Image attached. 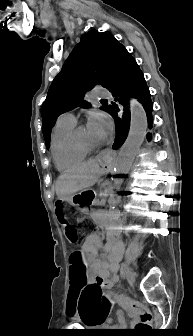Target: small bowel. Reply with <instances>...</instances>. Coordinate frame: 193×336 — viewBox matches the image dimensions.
Here are the masks:
<instances>
[{
	"label": "small bowel",
	"mask_w": 193,
	"mask_h": 336,
	"mask_svg": "<svg viewBox=\"0 0 193 336\" xmlns=\"http://www.w3.org/2000/svg\"><path fill=\"white\" fill-rule=\"evenodd\" d=\"M102 216H97L96 220L101 221ZM102 242L100 236L97 233H91L87 235L84 242L76 255L80 256V260L84 266L92 270L96 278L101 281L107 289V298L110 301H117L121 305H124L128 300L121 294H115L110 292V289L117 283L118 276V262L122 254V246L119 241H109L105 246L103 252ZM79 293V289L73 284L69 290V302L75 304L76 295ZM74 310H69L70 316ZM124 316L121 312L118 313V319L123 320Z\"/></svg>",
	"instance_id": "small-bowel-1"
}]
</instances>
